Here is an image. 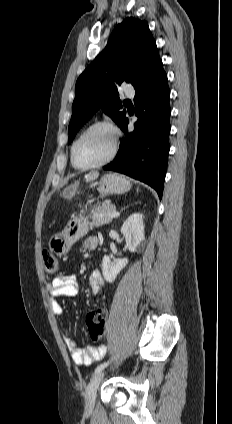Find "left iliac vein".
<instances>
[{
    "instance_id": "obj_1",
    "label": "left iliac vein",
    "mask_w": 232,
    "mask_h": 424,
    "mask_svg": "<svg viewBox=\"0 0 232 424\" xmlns=\"http://www.w3.org/2000/svg\"><path fill=\"white\" fill-rule=\"evenodd\" d=\"M104 372L100 371L97 373L88 384L85 390V411L91 412L94 408L96 392L100 382L102 381Z\"/></svg>"
}]
</instances>
